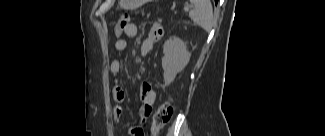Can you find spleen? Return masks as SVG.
<instances>
[{"label": "spleen", "mask_w": 325, "mask_h": 136, "mask_svg": "<svg viewBox=\"0 0 325 136\" xmlns=\"http://www.w3.org/2000/svg\"><path fill=\"white\" fill-rule=\"evenodd\" d=\"M194 9L189 12L192 21L209 32L213 28V9L210 0H193Z\"/></svg>", "instance_id": "1"}]
</instances>
